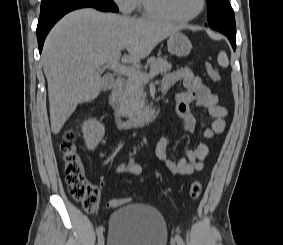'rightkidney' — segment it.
<instances>
[{
    "label": "right kidney",
    "mask_w": 283,
    "mask_h": 245,
    "mask_svg": "<svg viewBox=\"0 0 283 245\" xmlns=\"http://www.w3.org/2000/svg\"><path fill=\"white\" fill-rule=\"evenodd\" d=\"M82 132L87 148L94 150L104 137L105 128L96 119H89L84 122Z\"/></svg>",
    "instance_id": "1"
}]
</instances>
